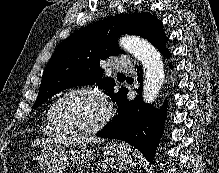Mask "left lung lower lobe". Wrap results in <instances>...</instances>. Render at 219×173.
Instances as JSON below:
<instances>
[{"instance_id": "left-lung-lower-lobe-1", "label": "left lung lower lobe", "mask_w": 219, "mask_h": 173, "mask_svg": "<svg viewBox=\"0 0 219 173\" xmlns=\"http://www.w3.org/2000/svg\"><path fill=\"white\" fill-rule=\"evenodd\" d=\"M166 41L167 38H164L155 46L164 57H169L165 47ZM136 67L138 81L142 85V68L137 65ZM141 90L142 87L136 90L139 95L132 101L126 98L128 89L123 90L117 101L118 115L97 133V136L123 140L138 149L148 161L153 162L164 127L167 103L165 101L160 110H157L143 102Z\"/></svg>"}]
</instances>
